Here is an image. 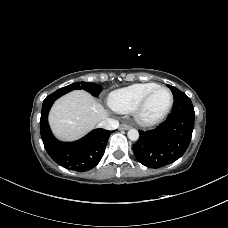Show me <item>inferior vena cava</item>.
<instances>
[{
    "instance_id": "inferior-vena-cava-1",
    "label": "inferior vena cava",
    "mask_w": 228,
    "mask_h": 228,
    "mask_svg": "<svg viewBox=\"0 0 228 228\" xmlns=\"http://www.w3.org/2000/svg\"><path fill=\"white\" fill-rule=\"evenodd\" d=\"M97 126L106 130H115L118 128L119 122L112 118H105L101 120Z\"/></svg>"
}]
</instances>
